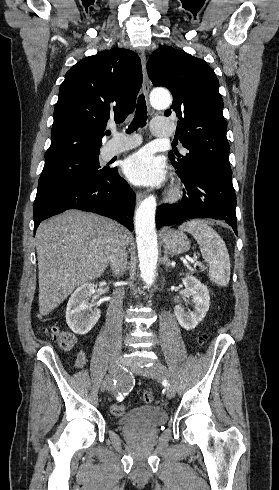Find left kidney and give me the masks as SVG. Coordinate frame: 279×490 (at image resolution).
Masks as SVG:
<instances>
[{
    "mask_svg": "<svg viewBox=\"0 0 279 490\" xmlns=\"http://www.w3.org/2000/svg\"><path fill=\"white\" fill-rule=\"evenodd\" d=\"M182 282L185 286V292H188V296H192V304H194L193 312H185L182 304L175 306L174 314L184 330H194L198 326L199 322L204 320L210 306V296L207 286L201 284L194 276H186L182 278Z\"/></svg>",
    "mask_w": 279,
    "mask_h": 490,
    "instance_id": "5707ae66",
    "label": "left kidney"
}]
</instances>
